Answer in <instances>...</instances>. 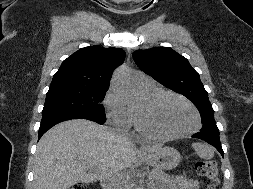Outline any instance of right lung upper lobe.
Segmentation results:
<instances>
[{
    "label": "right lung upper lobe",
    "mask_w": 253,
    "mask_h": 189,
    "mask_svg": "<svg viewBox=\"0 0 253 189\" xmlns=\"http://www.w3.org/2000/svg\"><path fill=\"white\" fill-rule=\"evenodd\" d=\"M121 48L90 46L65 59L53 77L50 88L64 86L109 87L112 72L123 63Z\"/></svg>",
    "instance_id": "obj_1"
}]
</instances>
